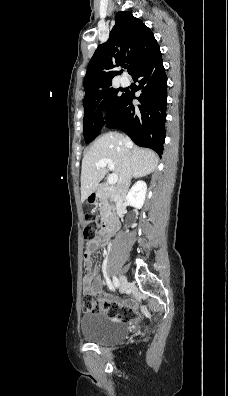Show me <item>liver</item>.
I'll use <instances>...</instances> for the list:
<instances>
[{
	"instance_id": "obj_1",
	"label": "liver",
	"mask_w": 228,
	"mask_h": 396,
	"mask_svg": "<svg viewBox=\"0 0 228 396\" xmlns=\"http://www.w3.org/2000/svg\"><path fill=\"white\" fill-rule=\"evenodd\" d=\"M117 132L106 133L95 140L90 150L82 160L81 170V201L95 192L100 181L107 173L106 167L98 168L96 163L102 159H111L114 164V174L118 179L121 175L123 163L129 158L131 176L143 177L157 168L158 155L147 148L134 145L129 139Z\"/></svg>"
}]
</instances>
